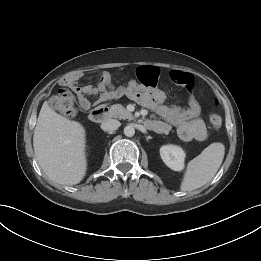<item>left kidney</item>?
<instances>
[{
    "label": "left kidney",
    "mask_w": 261,
    "mask_h": 261,
    "mask_svg": "<svg viewBox=\"0 0 261 261\" xmlns=\"http://www.w3.org/2000/svg\"><path fill=\"white\" fill-rule=\"evenodd\" d=\"M160 156L163 162L174 171L184 169L185 152L177 145H164L160 148Z\"/></svg>",
    "instance_id": "1"
}]
</instances>
